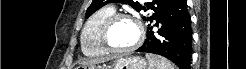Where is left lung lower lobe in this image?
<instances>
[{"label":"left lung lower lobe","mask_w":246,"mask_h":69,"mask_svg":"<svg viewBox=\"0 0 246 69\" xmlns=\"http://www.w3.org/2000/svg\"><path fill=\"white\" fill-rule=\"evenodd\" d=\"M147 31V38L138 52L164 56L180 69H190L192 53L191 19L185 0H173ZM159 27L154 35L153 27Z\"/></svg>","instance_id":"left-lung-lower-lobe-1"}]
</instances>
